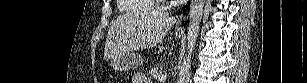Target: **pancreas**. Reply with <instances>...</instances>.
<instances>
[{
	"label": "pancreas",
	"mask_w": 307,
	"mask_h": 83,
	"mask_svg": "<svg viewBox=\"0 0 307 83\" xmlns=\"http://www.w3.org/2000/svg\"><path fill=\"white\" fill-rule=\"evenodd\" d=\"M150 76L155 78V79H158L162 74V69L161 68H158V67H154L150 72H149Z\"/></svg>",
	"instance_id": "pancreas-1"
}]
</instances>
